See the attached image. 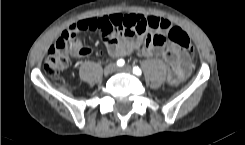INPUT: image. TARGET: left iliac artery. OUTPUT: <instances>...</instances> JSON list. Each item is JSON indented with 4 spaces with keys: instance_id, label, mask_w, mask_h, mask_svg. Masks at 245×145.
Listing matches in <instances>:
<instances>
[{
    "instance_id": "left-iliac-artery-1",
    "label": "left iliac artery",
    "mask_w": 245,
    "mask_h": 145,
    "mask_svg": "<svg viewBox=\"0 0 245 145\" xmlns=\"http://www.w3.org/2000/svg\"><path fill=\"white\" fill-rule=\"evenodd\" d=\"M133 73L136 74V75H141L142 71H141V69L138 66H134L133 67Z\"/></svg>"
}]
</instances>
